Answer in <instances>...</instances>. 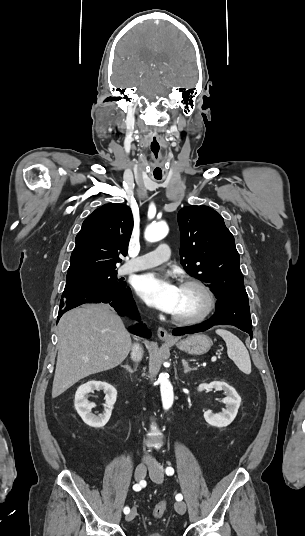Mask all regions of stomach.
Wrapping results in <instances>:
<instances>
[{
    "label": "stomach",
    "mask_w": 305,
    "mask_h": 536,
    "mask_svg": "<svg viewBox=\"0 0 305 536\" xmlns=\"http://www.w3.org/2000/svg\"><path fill=\"white\" fill-rule=\"evenodd\" d=\"M176 346L179 350L187 352V354H191V356H201V354L209 352L212 342L209 336H204V334H194V336H188L185 340H180V342H177Z\"/></svg>",
    "instance_id": "0dacf381"
}]
</instances>
